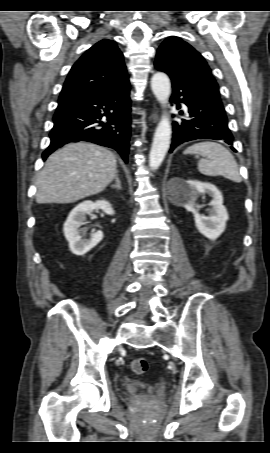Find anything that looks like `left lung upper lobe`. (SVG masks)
Wrapping results in <instances>:
<instances>
[{"label":"left lung upper lobe","instance_id":"obj_1","mask_svg":"<svg viewBox=\"0 0 270 453\" xmlns=\"http://www.w3.org/2000/svg\"><path fill=\"white\" fill-rule=\"evenodd\" d=\"M155 67L194 91L219 100L217 82L205 59L178 37L167 38L159 47Z\"/></svg>","mask_w":270,"mask_h":453}]
</instances>
